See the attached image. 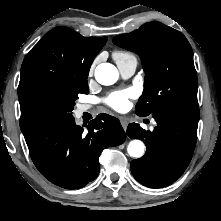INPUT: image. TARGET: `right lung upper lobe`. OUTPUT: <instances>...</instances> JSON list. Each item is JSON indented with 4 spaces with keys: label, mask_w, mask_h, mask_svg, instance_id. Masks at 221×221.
I'll return each instance as SVG.
<instances>
[{
    "label": "right lung upper lobe",
    "mask_w": 221,
    "mask_h": 221,
    "mask_svg": "<svg viewBox=\"0 0 221 221\" xmlns=\"http://www.w3.org/2000/svg\"><path fill=\"white\" fill-rule=\"evenodd\" d=\"M107 37H83L66 27L49 31L26 55L18 87L21 130L34 122L31 105L42 93L67 78L88 76Z\"/></svg>",
    "instance_id": "1"
}]
</instances>
